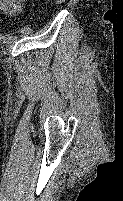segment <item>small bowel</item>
Masks as SVG:
<instances>
[{
  "label": "small bowel",
  "mask_w": 123,
  "mask_h": 201,
  "mask_svg": "<svg viewBox=\"0 0 123 201\" xmlns=\"http://www.w3.org/2000/svg\"><path fill=\"white\" fill-rule=\"evenodd\" d=\"M25 0H0V11L8 16L20 13Z\"/></svg>",
  "instance_id": "small-bowel-1"
}]
</instances>
